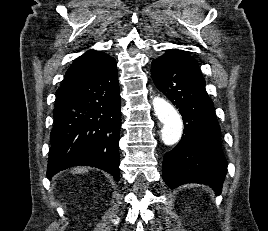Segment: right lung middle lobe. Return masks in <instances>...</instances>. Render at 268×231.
<instances>
[{
    "label": "right lung middle lobe",
    "mask_w": 268,
    "mask_h": 231,
    "mask_svg": "<svg viewBox=\"0 0 268 231\" xmlns=\"http://www.w3.org/2000/svg\"><path fill=\"white\" fill-rule=\"evenodd\" d=\"M67 94H68V92L67 93H57L56 92L55 104L60 103L67 96Z\"/></svg>",
    "instance_id": "dd1d6c3e"
}]
</instances>
